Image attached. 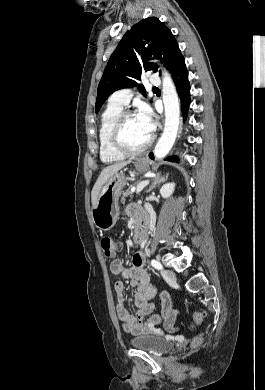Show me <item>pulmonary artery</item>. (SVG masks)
<instances>
[{"mask_svg":"<svg viewBox=\"0 0 265 390\" xmlns=\"http://www.w3.org/2000/svg\"><path fill=\"white\" fill-rule=\"evenodd\" d=\"M148 82L154 86H158L161 83L159 77L152 71H149ZM131 97H132V91L130 89H122L112 95V97L109 100V103L113 105L125 107L129 104Z\"/></svg>","mask_w":265,"mask_h":390,"instance_id":"pulmonary-artery-1","label":"pulmonary artery"}]
</instances>
